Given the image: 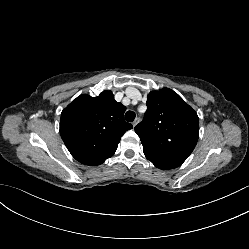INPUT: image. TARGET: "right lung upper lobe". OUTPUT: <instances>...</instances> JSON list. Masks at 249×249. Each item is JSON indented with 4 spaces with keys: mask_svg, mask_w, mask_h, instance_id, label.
I'll return each instance as SVG.
<instances>
[{
    "mask_svg": "<svg viewBox=\"0 0 249 249\" xmlns=\"http://www.w3.org/2000/svg\"><path fill=\"white\" fill-rule=\"evenodd\" d=\"M126 107L111 91L97 97L83 94L61 113L60 134L71 155L87 165H98L111 157L123 134L132 128L124 120Z\"/></svg>",
    "mask_w": 249,
    "mask_h": 249,
    "instance_id": "1",
    "label": "right lung upper lobe"
}]
</instances>
